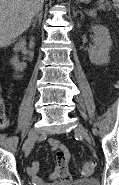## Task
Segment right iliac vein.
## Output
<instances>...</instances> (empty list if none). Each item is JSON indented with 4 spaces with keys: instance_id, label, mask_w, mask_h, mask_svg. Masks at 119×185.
I'll use <instances>...</instances> for the list:
<instances>
[{
    "instance_id": "1",
    "label": "right iliac vein",
    "mask_w": 119,
    "mask_h": 185,
    "mask_svg": "<svg viewBox=\"0 0 119 185\" xmlns=\"http://www.w3.org/2000/svg\"><path fill=\"white\" fill-rule=\"evenodd\" d=\"M36 138H37V130L36 129H31L29 134H28V138L25 142V146H24V153H25V156H28L29 153L31 152V149L36 141Z\"/></svg>"
}]
</instances>
